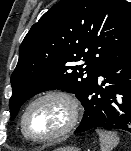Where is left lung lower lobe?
<instances>
[{"mask_svg":"<svg viewBox=\"0 0 131 151\" xmlns=\"http://www.w3.org/2000/svg\"><path fill=\"white\" fill-rule=\"evenodd\" d=\"M100 76L102 80H98ZM83 106L84 115L75 133L95 127L131 133V42L101 64Z\"/></svg>","mask_w":131,"mask_h":151,"instance_id":"left-lung-lower-lobe-1","label":"left lung lower lobe"}]
</instances>
